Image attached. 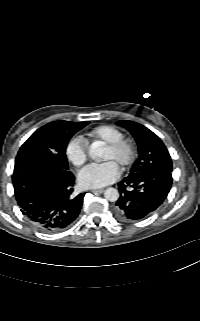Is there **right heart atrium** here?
Masks as SVG:
<instances>
[{
  "label": "right heart atrium",
  "mask_w": 200,
  "mask_h": 321,
  "mask_svg": "<svg viewBox=\"0 0 200 321\" xmlns=\"http://www.w3.org/2000/svg\"><path fill=\"white\" fill-rule=\"evenodd\" d=\"M87 142L79 136L71 138L66 145V155L69 161L79 167L87 160Z\"/></svg>",
  "instance_id": "obj_1"
}]
</instances>
